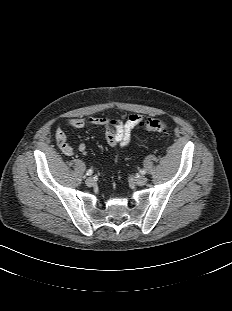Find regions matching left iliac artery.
Wrapping results in <instances>:
<instances>
[{
	"instance_id": "44dca946",
	"label": "left iliac artery",
	"mask_w": 232,
	"mask_h": 311,
	"mask_svg": "<svg viewBox=\"0 0 232 311\" xmlns=\"http://www.w3.org/2000/svg\"><path fill=\"white\" fill-rule=\"evenodd\" d=\"M140 173H141V174H145V173H146V170H145V169H142V170L140 171Z\"/></svg>"
}]
</instances>
